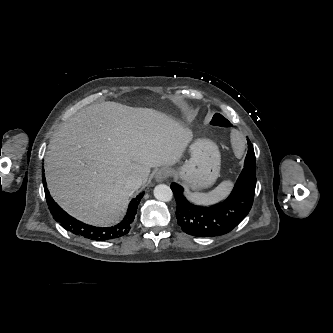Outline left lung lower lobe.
Masks as SVG:
<instances>
[{
	"mask_svg": "<svg viewBox=\"0 0 333 333\" xmlns=\"http://www.w3.org/2000/svg\"><path fill=\"white\" fill-rule=\"evenodd\" d=\"M248 140L244 168L229 197L222 203L202 208L190 204L183 187L171 184L177 203L176 218L181 229L197 237H214L233 230L249 213L256 187V163L253 145Z\"/></svg>",
	"mask_w": 333,
	"mask_h": 333,
	"instance_id": "0a47b994",
	"label": "left lung lower lobe"
}]
</instances>
